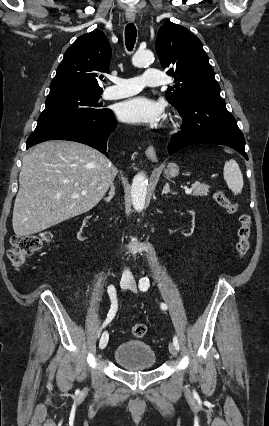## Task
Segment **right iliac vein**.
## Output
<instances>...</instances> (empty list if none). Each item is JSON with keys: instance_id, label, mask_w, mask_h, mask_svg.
Wrapping results in <instances>:
<instances>
[{"instance_id": "obj_1", "label": "right iliac vein", "mask_w": 269, "mask_h": 426, "mask_svg": "<svg viewBox=\"0 0 269 426\" xmlns=\"http://www.w3.org/2000/svg\"><path fill=\"white\" fill-rule=\"evenodd\" d=\"M129 285H130V279L125 276L122 277L120 281L121 288L126 289ZM108 340H109V333L108 331H104L101 335L100 342H99V348L101 350H103L106 347Z\"/></svg>"}]
</instances>
